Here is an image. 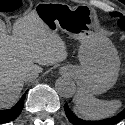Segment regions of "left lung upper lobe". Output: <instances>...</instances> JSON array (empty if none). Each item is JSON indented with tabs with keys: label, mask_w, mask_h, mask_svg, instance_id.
I'll use <instances>...</instances> for the list:
<instances>
[{
	"label": "left lung upper lobe",
	"mask_w": 125,
	"mask_h": 125,
	"mask_svg": "<svg viewBox=\"0 0 125 125\" xmlns=\"http://www.w3.org/2000/svg\"><path fill=\"white\" fill-rule=\"evenodd\" d=\"M110 14H111V16H113V17H116V16L119 17L118 25H119V27H120L121 29L125 30V17L122 16V14H121V13H118V12H111Z\"/></svg>",
	"instance_id": "1"
}]
</instances>
